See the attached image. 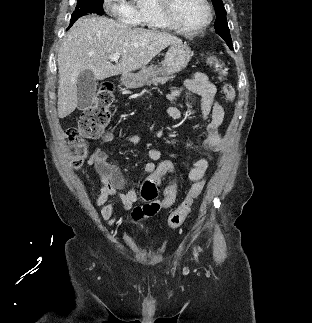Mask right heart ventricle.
I'll return each mask as SVG.
<instances>
[{"mask_svg": "<svg viewBox=\"0 0 312 323\" xmlns=\"http://www.w3.org/2000/svg\"><path fill=\"white\" fill-rule=\"evenodd\" d=\"M133 13L136 25H148L149 29H169L167 18H163V9H157L156 5H140Z\"/></svg>", "mask_w": 312, "mask_h": 323, "instance_id": "1", "label": "right heart ventricle"}]
</instances>
